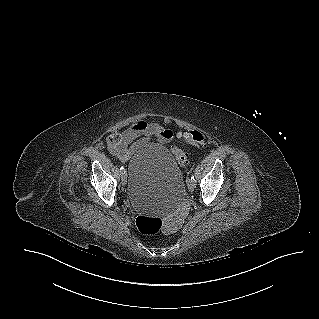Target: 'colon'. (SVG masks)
Here are the masks:
<instances>
[{"label":"colon","mask_w":319,"mask_h":319,"mask_svg":"<svg viewBox=\"0 0 319 319\" xmlns=\"http://www.w3.org/2000/svg\"><path fill=\"white\" fill-rule=\"evenodd\" d=\"M176 137L192 145H202L207 138L203 130L197 128L187 129L186 127H179L176 130ZM171 152L179 165L186 168L188 165L187 154L175 146L171 148ZM136 226L144 235H155L163 230L164 223L158 217L140 215L136 218Z\"/></svg>","instance_id":"obj_1"}]
</instances>
